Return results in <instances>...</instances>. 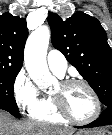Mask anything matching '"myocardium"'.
<instances>
[{
	"mask_svg": "<svg viewBox=\"0 0 112 135\" xmlns=\"http://www.w3.org/2000/svg\"><path fill=\"white\" fill-rule=\"evenodd\" d=\"M59 84L63 88H67V87H70L73 85L84 86L88 90L90 95L92 96L93 102H94V111H93L92 115L86 119H78V118L74 117L72 114H70V112L67 110L62 97L51 94L53 106H54L55 110L57 111V113L63 119H65L69 122L75 123V124L86 125V124H90V123L94 122L100 116V113H101L100 98H99L97 92L95 91V89L87 81L82 80V79H67V80L61 81Z\"/></svg>",
	"mask_w": 112,
	"mask_h": 135,
	"instance_id": "obj_1",
	"label": "myocardium"
}]
</instances>
